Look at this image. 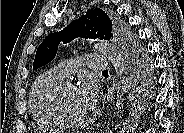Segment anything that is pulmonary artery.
<instances>
[{"label":"pulmonary artery","instance_id":"pulmonary-artery-1","mask_svg":"<svg viewBox=\"0 0 184 133\" xmlns=\"http://www.w3.org/2000/svg\"><path fill=\"white\" fill-rule=\"evenodd\" d=\"M80 65L91 70H106L111 67L110 61L106 56L89 54L77 58L63 60L55 67V69L63 78H66L71 75Z\"/></svg>","mask_w":184,"mask_h":133}]
</instances>
